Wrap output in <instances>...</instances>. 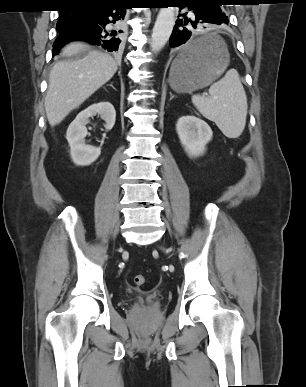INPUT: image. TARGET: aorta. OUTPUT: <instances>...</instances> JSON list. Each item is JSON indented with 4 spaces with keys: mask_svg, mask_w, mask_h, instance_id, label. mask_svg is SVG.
<instances>
[{
    "mask_svg": "<svg viewBox=\"0 0 306 387\" xmlns=\"http://www.w3.org/2000/svg\"><path fill=\"white\" fill-rule=\"evenodd\" d=\"M174 24V7L160 8L151 36L150 48L153 53H158L166 45L172 33Z\"/></svg>",
    "mask_w": 306,
    "mask_h": 387,
    "instance_id": "762f6f07",
    "label": "aorta"
}]
</instances>
